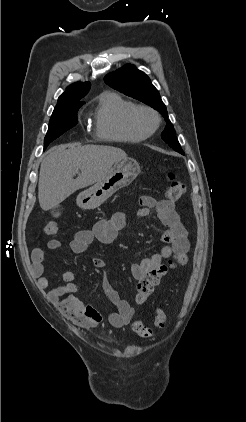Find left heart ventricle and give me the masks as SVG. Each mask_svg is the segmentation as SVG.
<instances>
[{"instance_id": "left-heart-ventricle-1", "label": "left heart ventricle", "mask_w": 246, "mask_h": 422, "mask_svg": "<svg viewBox=\"0 0 246 422\" xmlns=\"http://www.w3.org/2000/svg\"><path fill=\"white\" fill-rule=\"evenodd\" d=\"M148 123L151 124V121L148 119Z\"/></svg>"}]
</instances>
